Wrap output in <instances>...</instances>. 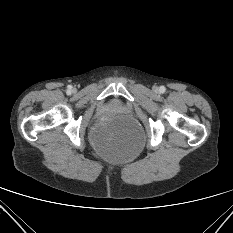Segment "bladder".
<instances>
[{
    "instance_id": "31cf9c89",
    "label": "bladder",
    "mask_w": 233,
    "mask_h": 233,
    "mask_svg": "<svg viewBox=\"0 0 233 233\" xmlns=\"http://www.w3.org/2000/svg\"><path fill=\"white\" fill-rule=\"evenodd\" d=\"M94 143L97 150L102 153L103 155L110 156V157H118V156H127L132 157L136 152L137 148L125 145L115 144L106 138H102L100 136H96L94 138Z\"/></svg>"
}]
</instances>
